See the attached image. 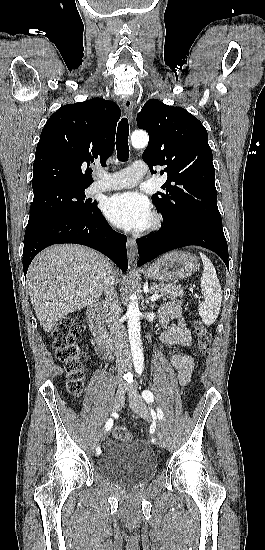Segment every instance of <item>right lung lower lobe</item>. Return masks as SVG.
<instances>
[{"label":"right lung lower lobe","instance_id":"98d812e1","mask_svg":"<svg viewBox=\"0 0 265 550\" xmlns=\"http://www.w3.org/2000/svg\"><path fill=\"white\" fill-rule=\"evenodd\" d=\"M127 238L114 231L97 208L88 215H60L28 223L24 237L23 271L44 248L75 243L94 248L109 257L122 271L128 267Z\"/></svg>","mask_w":265,"mask_h":550}]
</instances>
